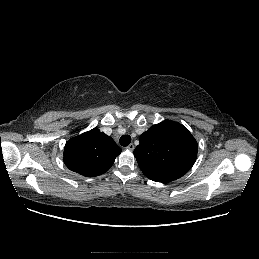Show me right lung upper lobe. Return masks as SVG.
I'll list each match as a JSON object with an SVG mask.
<instances>
[{
    "label": "right lung upper lobe",
    "instance_id": "right-lung-upper-lobe-1",
    "mask_svg": "<svg viewBox=\"0 0 259 259\" xmlns=\"http://www.w3.org/2000/svg\"><path fill=\"white\" fill-rule=\"evenodd\" d=\"M121 148L115 141L94 128L71 138L64 148V163L71 170L86 177L107 172Z\"/></svg>",
    "mask_w": 259,
    "mask_h": 259
}]
</instances>
